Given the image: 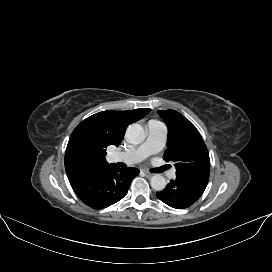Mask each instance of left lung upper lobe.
Masks as SVG:
<instances>
[{"instance_id": "left-lung-upper-lobe-1", "label": "left lung upper lobe", "mask_w": 272, "mask_h": 272, "mask_svg": "<svg viewBox=\"0 0 272 272\" xmlns=\"http://www.w3.org/2000/svg\"><path fill=\"white\" fill-rule=\"evenodd\" d=\"M158 113L168 127L163 158L176 163V175L209 174V153L196 127L177 111L158 110Z\"/></svg>"}]
</instances>
